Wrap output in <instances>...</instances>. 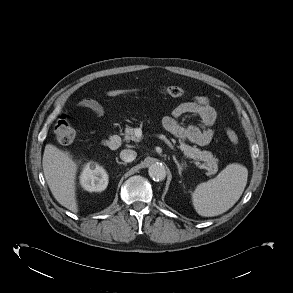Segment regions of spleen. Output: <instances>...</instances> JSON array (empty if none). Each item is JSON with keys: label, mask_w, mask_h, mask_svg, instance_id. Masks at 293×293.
Masks as SVG:
<instances>
[{"label": "spleen", "mask_w": 293, "mask_h": 293, "mask_svg": "<svg viewBox=\"0 0 293 293\" xmlns=\"http://www.w3.org/2000/svg\"><path fill=\"white\" fill-rule=\"evenodd\" d=\"M247 178V168L233 163L227 165L215 178L198 184L192 193L196 212L204 217H213L228 211L241 197Z\"/></svg>", "instance_id": "1"}]
</instances>
